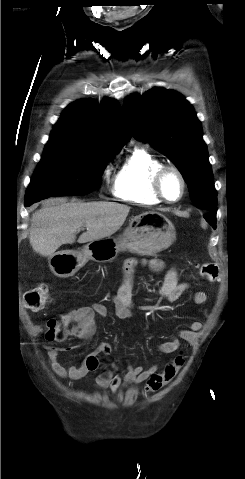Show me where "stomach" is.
<instances>
[{
  "label": "stomach",
  "mask_w": 245,
  "mask_h": 479,
  "mask_svg": "<svg viewBox=\"0 0 245 479\" xmlns=\"http://www.w3.org/2000/svg\"><path fill=\"white\" fill-rule=\"evenodd\" d=\"M176 239L173 224L161 213L149 211L133 217L123 234L94 240L81 250H64L49 258V267L58 277L73 276L88 260L111 262L128 250L151 256L168 248Z\"/></svg>",
  "instance_id": "1"
}]
</instances>
